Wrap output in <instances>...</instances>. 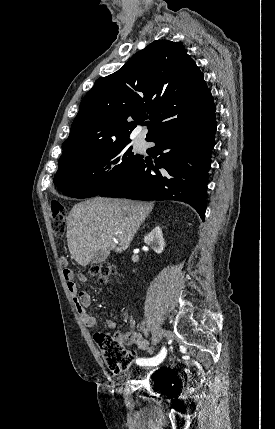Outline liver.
Wrapping results in <instances>:
<instances>
[{
    "label": "liver",
    "mask_w": 275,
    "mask_h": 429,
    "mask_svg": "<svg viewBox=\"0 0 275 429\" xmlns=\"http://www.w3.org/2000/svg\"><path fill=\"white\" fill-rule=\"evenodd\" d=\"M153 207V203L101 197L76 204L67 220L72 257L86 266L98 250L125 251Z\"/></svg>",
    "instance_id": "obj_1"
}]
</instances>
